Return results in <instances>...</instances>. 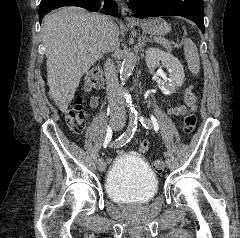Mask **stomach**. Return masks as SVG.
<instances>
[{"label":"stomach","mask_w":240,"mask_h":238,"mask_svg":"<svg viewBox=\"0 0 240 238\" xmlns=\"http://www.w3.org/2000/svg\"><path fill=\"white\" fill-rule=\"evenodd\" d=\"M148 34L163 36L170 31V25L162 18L145 19L136 23Z\"/></svg>","instance_id":"stomach-1"}]
</instances>
